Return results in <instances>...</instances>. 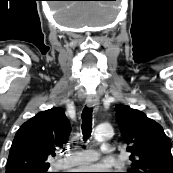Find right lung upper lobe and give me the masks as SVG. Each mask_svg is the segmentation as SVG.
I'll return each instance as SVG.
<instances>
[{"mask_svg": "<svg viewBox=\"0 0 173 173\" xmlns=\"http://www.w3.org/2000/svg\"><path fill=\"white\" fill-rule=\"evenodd\" d=\"M70 125L60 108L39 112L17 131L5 173H32L50 167L48 158L63 147Z\"/></svg>", "mask_w": 173, "mask_h": 173, "instance_id": "obj_1", "label": "right lung upper lobe"}]
</instances>
